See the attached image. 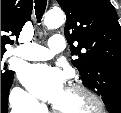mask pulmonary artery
I'll return each instance as SVG.
<instances>
[{
	"label": "pulmonary artery",
	"mask_w": 121,
	"mask_h": 113,
	"mask_svg": "<svg viewBox=\"0 0 121 113\" xmlns=\"http://www.w3.org/2000/svg\"><path fill=\"white\" fill-rule=\"evenodd\" d=\"M64 49V37L62 35H53L48 46H42L37 43H27L16 49V54L29 61H45L51 59Z\"/></svg>",
	"instance_id": "obj_1"
}]
</instances>
